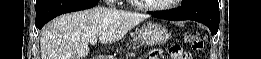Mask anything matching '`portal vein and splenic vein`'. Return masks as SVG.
I'll return each instance as SVG.
<instances>
[{
    "label": "portal vein and splenic vein",
    "mask_w": 261,
    "mask_h": 59,
    "mask_svg": "<svg viewBox=\"0 0 261 59\" xmlns=\"http://www.w3.org/2000/svg\"><path fill=\"white\" fill-rule=\"evenodd\" d=\"M89 42H90V44L95 45L97 43V38L93 37V38L90 39Z\"/></svg>",
    "instance_id": "18ae733b"
}]
</instances>
